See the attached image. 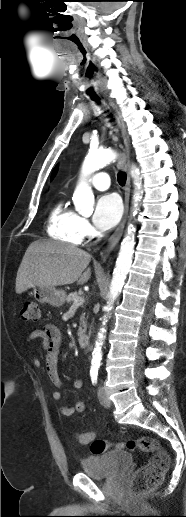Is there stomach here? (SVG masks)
I'll return each instance as SVG.
<instances>
[{
	"mask_svg": "<svg viewBox=\"0 0 186 517\" xmlns=\"http://www.w3.org/2000/svg\"><path fill=\"white\" fill-rule=\"evenodd\" d=\"M34 297L40 303H48L52 306L59 307L66 300V293L62 289L55 287H37L34 288Z\"/></svg>",
	"mask_w": 186,
	"mask_h": 517,
	"instance_id": "0dacf381",
	"label": "stomach"
}]
</instances>
